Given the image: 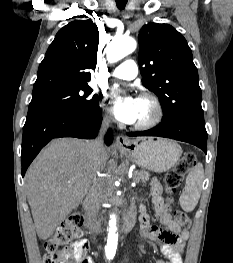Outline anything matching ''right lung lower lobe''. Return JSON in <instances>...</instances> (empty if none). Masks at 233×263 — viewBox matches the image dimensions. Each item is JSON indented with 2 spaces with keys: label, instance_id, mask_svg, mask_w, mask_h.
I'll list each match as a JSON object with an SVG mask.
<instances>
[{
  "label": "right lung lower lobe",
  "instance_id": "98d812e1",
  "mask_svg": "<svg viewBox=\"0 0 233 263\" xmlns=\"http://www.w3.org/2000/svg\"><path fill=\"white\" fill-rule=\"evenodd\" d=\"M101 120V110L97 103L94 107L81 112L53 115L26 122L23 127L21 152L22 177L36 155L51 139L58 137L95 138ZM112 140V131L109 130L105 136V143L110 145Z\"/></svg>",
  "mask_w": 233,
  "mask_h": 263
}]
</instances>
